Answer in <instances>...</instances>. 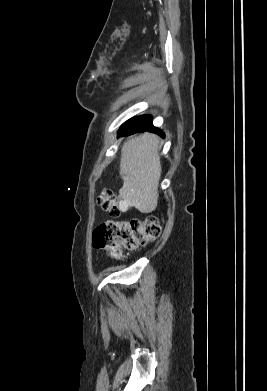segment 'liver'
Returning <instances> with one entry per match:
<instances>
[{
    "label": "liver",
    "mask_w": 267,
    "mask_h": 391,
    "mask_svg": "<svg viewBox=\"0 0 267 391\" xmlns=\"http://www.w3.org/2000/svg\"><path fill=\"white\" fill-rule=\"evenodd\" d=\"M159 137L144 133L129 139L121 148L119 191L122 203L141 213L154 211L158 204L161 177Z\"/></svg>",
    "instance_id": "obj_1"
}]
</instances>
